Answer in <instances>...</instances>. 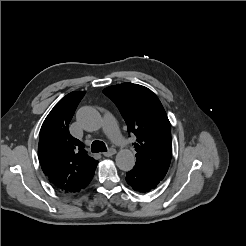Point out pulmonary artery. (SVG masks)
I'll list each match as a JSON object with an SVG mask.
<instances>
[{"instance_id":"e3ab8cb5","label":"pulmonary artery","mask_w":246,"mask_h":246,"mask_svg":"<svg viewBox=\"0 0 246 246\" xmlns=\"http://www.w3.org/2000/svg\"><path fill=\"white\" fill-rule=\"evenodd\" d=\"M103 127L106 134L113 140V142H115L118 145H124L126 143L112 115L106 114L104 116Z\"/></svg>"}]
</instances>
